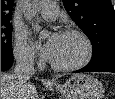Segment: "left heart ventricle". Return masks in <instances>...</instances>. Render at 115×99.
I'll list each match as a JSON object with an SVG mask.
<instances>
[{
  "label": "left heart ventricle",
  "instance_id": "b2bd125f",
  "mask_svg": "<svg viewBox=\"0 0 115 99\" xmlns=\"http://www.w3.org/2000/svg\"><path fill=\"white\" fill-rule=\"evenodd\" d=\"M84 52V44L79 37L62 35L51 61L61 65L75 63L83 57Z\"/></svg>",
  "mask_w": 115,
  "mask_h": 99
}]
</instances>
